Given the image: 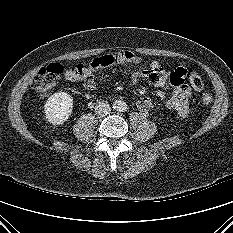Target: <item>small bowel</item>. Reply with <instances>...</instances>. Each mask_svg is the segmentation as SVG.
<instances>
[{"mask_svg":"<svg viewBox=\"0 0 233 233\" xmlns=\"http://www.w3.org/2000/svg\"><path fill=\"white\" fill-rule=\"evenodd\" d=\"M104 62L101 67L122 64H138L139 56L132 51H122L119 53L107 54L101 56ZM189 72L184 68H177L174 71L164 69L157 61H152L149 66L141 71L131 75L130 81L134 84L146 81L151 85L163 87L167 83L172 87V94L166 101V106L178 112L180 115H186L191 98V88L186 83V73ZM84 86L88 90L95 89L93 75L85 79ZM136 107L142 111H149L153 107V102L148 97H142L136 102Z\"/></svg>","mask_w":233,"mask_h":233,"instance_id":"c3829d8e","label":"small bowel"}]
</instances>
